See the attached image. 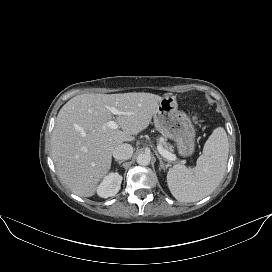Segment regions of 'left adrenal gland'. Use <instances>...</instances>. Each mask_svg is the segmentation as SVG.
Segmentation results:
<instances>
[{
  "mask_svg": "<svg viewBox=\"0 0 272 272\" xmlns=\"http://www.w3.org/2000/svg\"><path fill=\"white\" fill-rule=\"evenodd\" d=\"M157 158L159 159L160 162V169L165 170L167 168V165L164 164L162 158L160 157V155L158 153H156Z\"/></svg>",
  "mask_w": 272,
  "mask_h": 272,
  "instance_id": "obj_1",
  "label": "left adrenal gland"
}]
</instances>
